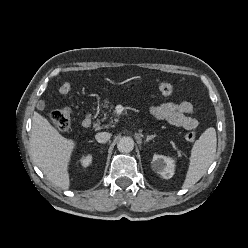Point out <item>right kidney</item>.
Returning a JSON list of instances; mask_svg holds the SVG:
<instances>
[{
	"mask_svg": "<svg viewBox=\"0 0 248 248\" xmlns=\"http://www.w3.org/2000/svg\"><path fill=\"white\" fill-rule=\"evenodd\" d=\"M81 165L86 168L92 163V156L90 154L83 156L80 160Z\"/></svg>",
	"mask_w": 248,
	"mask_h": 248,
	"instance_id": "obj_1",
	"label": "right kidney"
}]
</instances>
